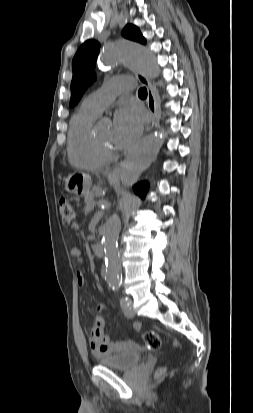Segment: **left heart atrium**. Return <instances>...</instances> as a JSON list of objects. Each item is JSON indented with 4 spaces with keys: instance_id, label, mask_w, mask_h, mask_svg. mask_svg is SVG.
Returning a JSON list of instances; mask_svg holds the SVG:
<instances>
[{
    "instance_id": "obj_1",
    "label": "left heart atrium",
    "mask_w": 253,
    "mask_h": 413,
    "mask_svg": "<svg viewBox=\"0 0 253 413\" xmlns=\"http://www.w3.org/2000/svg\"><path fill=\"white\" fill-rule=\"evenodd\" d=\"M143 127V116L136 107L120 108L114 118L112 137L114 145L124 148L132 144L140 135Z\"/></svg>"
}]
</instances>
